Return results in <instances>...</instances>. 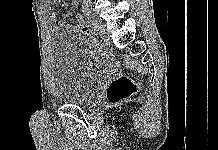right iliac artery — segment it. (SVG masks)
Returning a JSON list of instances; mask_svg holds the SVG:
<instances>
[{
  "instance_id": "1",
  "label": "right iliac artery",
  "mask_w": 218,
  "mask_h": 150,
  "mask_svg": "<svg viewBox=\"0 0 218 150\" xmlns=\"http://www.w3.org/2000/svg\"><path fill=\"white\" fill-rule=\"evenodd\" d=\"M83 12H84V10H83ZM84 15H85V13H84ZM81 18V20H82V22L83 23H86L88 26H90V27H92L95 31H96V29H95V27H94V23H93V21L91 20V18L90 17H88L87 15H85L84 16V18L83 17H80ZM93 32L92 34H93V38L95 39L97 36H96V32Z\"/></svg>"
}]
</instances>
